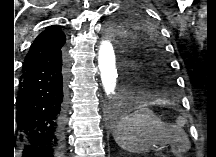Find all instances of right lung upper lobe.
<instances>
[{
    "instance_id": "1",
    "label": "right lung upper lobe",
    "mask_w": 216,
    "mask_h": 157,
    "mask_svg": "<svg viewBox=\"0 0 216 157\" xmlns=\"http://www.w3.org/2000/svg\"><path fill=\"white\" fill-rule=\"evenodd\" d=\"M66 41L65 34L55 25L49 26L34 40L23 64L22 72L61 52Z\"/></svg>"
}]
</instances>
